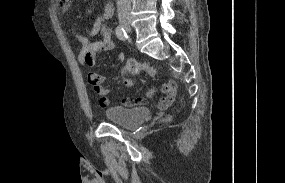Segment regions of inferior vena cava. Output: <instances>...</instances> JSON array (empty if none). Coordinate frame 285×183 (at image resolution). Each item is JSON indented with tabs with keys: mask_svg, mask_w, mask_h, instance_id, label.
I'll list each match as a JSON object with an SVG mask.
<instances>
[{
	"mask_svg": "<svg viewBox=\"0 0 285 183\" xmlns=\"http://www.w3.org/2000/svg\"><path fill=\"white\" fill-rule=\"evenodd\" d=\"M118 17L123 18L130 15L131 0H117Z\"/></svg>",
	"mask_w": 285,
	"mask_h": 183,
	"instance_id": "1",
	"label": "inferior vena cava"
}]
</instances>
